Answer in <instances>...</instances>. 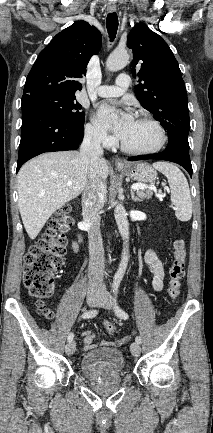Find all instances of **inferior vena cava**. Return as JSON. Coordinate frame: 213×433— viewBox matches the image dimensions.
I'll return each mask as SVG.
<instances>
[{
	"label": "inferior vena cava",
	"mask_w": 213,
	"mask_h": 433,
	"mask_svg": "<svg viewBox=\"0 0 213 433\" xmlns=\"http://www.w3.org/2000/svg\"><path fill=\"white\" fill-rule=\"evenodd\" d=\"M102 135L96 132H85L80 147V155L89 161V177L82 194V215L88 226L89 268L91 272L89 292H104V248L100 234L99 211L106 199V184L98 177V163L103 155L101 147Z\"/></svg>",
	"instance_id": "602c4592"
}]
</instances>
